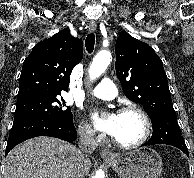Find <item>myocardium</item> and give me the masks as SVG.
<instances>
[{
	"label": "myocardium",
	"mask_w": 194,
	"mask_h": 178,
	"mask_svg": "<svg viewBox=\"0 0 194 178\" xmlns=\"http://www.w3.org/2000/svg\"><path fill=\"white\" fill-rule=\"evenodd\" d=\"M127 112L135 113L141 118L143 122L144 130L141 137L132 143H122L117 139H115L114 137H112L113 144L121 149H133L143 145L150 137L151 131H152V124H151L150 117L142 108L136 105H126L120 108L118 111L119 114L127 113Z\"/></svg>",
	"instance_id": "f54148a6"
}]
</instances>
